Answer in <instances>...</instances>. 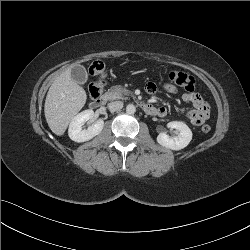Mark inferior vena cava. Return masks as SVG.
<instances>
[{"instance_id": "obj_1", "label": "inferior vena cava", "mask_w": 250, "mask_h": 250, "mask_svg": "<svg viewBox=\"0 0 250 250\" xmlns=\"http://www.w3.org/2000/svg\"><path fill=\"white\" fill-rule=\"evenodd\" d=\"M123 108V102L122 101H114L108 104V109L110 112H116Z\"/></svg>"}]
</instances>
